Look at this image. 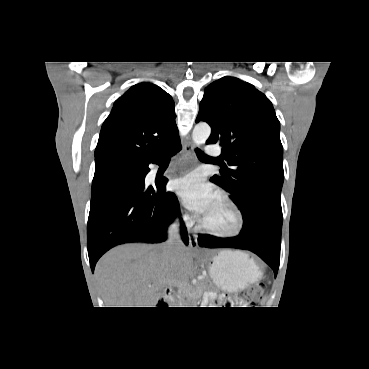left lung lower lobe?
Returning <instances> with one entry per match:
<instances>
[{"label":"left lung lower lobe","instance_id":"1","mask_svg":"<svg viewBox=\"0 0 369 369\" xmlns=\"http://www.w3.org/2000/svg\"><path fill=\"white\" fill-rule=\"evenodd\" d=\"M282 216L264 214L249 229L226 241L209 239L208 235H199L198 244L207 248H237L250 250L268 263L275 276L280 263Z\"/></svg>","mask_w":369,"mask_h":369}]
</instances>
